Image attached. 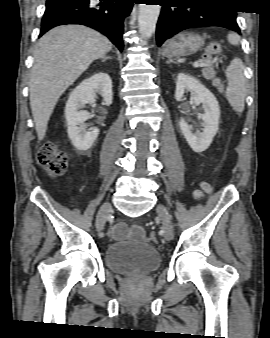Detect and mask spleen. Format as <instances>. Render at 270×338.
Wrapping results in <instances>:
<instances>
[{
	"instance_id": "1",
	"label": "spleen",
	"mask_w": 270,
	"mask_h": 338,
	"mask_svg": "<svg viewBox=\"0 0 270 338\" xmlns=\"http://www.w3.org/2000/svg\"><path fill=\"white\" fill-rule=\"evenodd\" d=\"M228 86L225 96L229 104L237 112L244 110L246 96V80L244 77V65L241 59L234 58L226 68Z\"/></svg>"
}]
</instances>
